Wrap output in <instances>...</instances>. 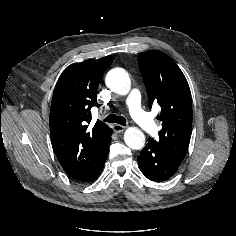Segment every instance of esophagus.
<instances>
[{
	"label": "esophagus",
	"instance_id": "34e87169",
	"mask_svg": "<svg viewBox=\"0 0 236 236\" xmlns=\"http://www.w3.org/2000/svg\"><path fill=\"white\" fill-rule=\"evenodd\" d=\"M113 131L116 132V133H120V132H123L125 130V127L122 126V125H119V124H115L113 125Z\"/></svg>",
	"mask_w": 236,
	"mask_h": 236
}]
</instances>
